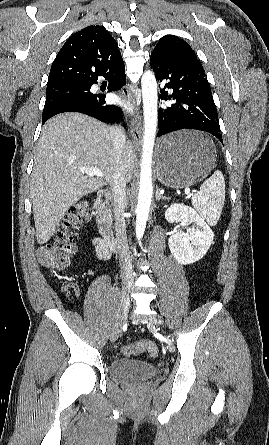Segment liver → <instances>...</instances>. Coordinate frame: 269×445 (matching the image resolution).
Wrapping results in <instances>:
<instances>
[{"label": "liver", "instance_id": "6515ba94", "mask_svg": "<svg viewBox=\"0 0 269 445\" xmlns=\"http://www.w3.org/2000/svg\"><path fill=\"white\" fill-rule=\"evenodd\" d=\"M122 172L126 182L133 176L132 143L123 147ZM96 167L104 177H89L79 171ZM117 162L110 127L79 113L59 114L48 120L38 141L31 181V197L39 244L54 235L65 212L83 196L113 183Z\"/></svg>", "mask_w": 269, "mask_h": 445}]
</instances>
